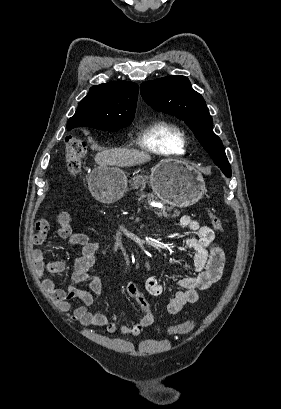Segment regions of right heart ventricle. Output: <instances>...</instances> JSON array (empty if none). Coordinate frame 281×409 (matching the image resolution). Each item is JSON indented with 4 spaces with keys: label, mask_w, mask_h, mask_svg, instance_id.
Returning <instances> with one entry per match:
<instances>
[{
    "label": "right heart ventricle",
    "mask_w": 281,
    "mask_h": 409,
    "mask_svg": "<svg viewBox=\"0 0 281 409\" xmlns=\"http://www.w3.org/2000/svg\"><path fill=\"white\" fill-rule=\"evenodd\" d=\"M150 149L163 156H180L186 151L183 129L168 120L154 121L146 130Z\"/></svg>",
    "instance_id": "obj_1"
}]
</instances>
